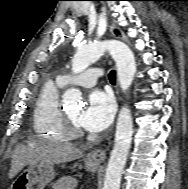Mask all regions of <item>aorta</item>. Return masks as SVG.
<instances>
[{
	"label": "aorta",
	"mask_w": 188,
	"mask_h": 189,
	"mask_svg": "<svg viewBox=\"0 0 188 189\" xmlns=\"http://www.w3.org/2000/svg\"><path fill=\"white\" fill-rule=\"evenodd\" d=\"M108 51L117 67V76L122 91L132 84L136 73V63L133 52L123 42L104 40L80 46L73 59L72 71L75 74L83 72L89 65L96 62ZM63 103L68 107L81 105V94L77 89H68L63 95ZM133 134V122L130 110L123 107L120 110L115 134V143L106 168L103 189H120L122 173Z\"/></svg>",
	"instance_id": "1"
}]
</instances>
